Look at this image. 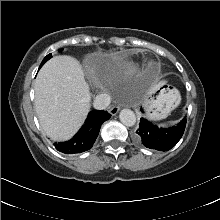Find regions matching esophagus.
<instances>
[{
	"label": "esophagus",
	"instance_id": "34e87169",
	"mask_svg": "<svg viewBox=\"0 0 220 220\" xmlns=\"http://www.w3.org/2000/svg\"><path fill=\"white\" fill-rule=\"evenodd\" d=\"M120 110V107L119 106H111L109 108V112L111 115H116L118 113V111Z\"/></svg>",
	"mask_w": 220,
	"mask_h": 220
}]
</instances>
